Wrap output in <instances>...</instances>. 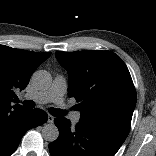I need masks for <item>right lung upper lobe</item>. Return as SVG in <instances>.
<instances>
[{
    "label": "right lung upper lobe",
    "instance_id": "1",
    "mask_svg": "<svg viewBox=\"0 0 156 156\" xmlns=\"http://www.w3.org/2000/svg\"><path fill=\"white\" fill-rule=\"evenodd\" d=\"M51 55L14 49L0 45V110H11V102L17 98L15 92L24 89L32 73ZM15 109H24L16 104Z\"/></svg>",
    "mask_w": 156,
    "mask_h": 156
}]
</instances>
